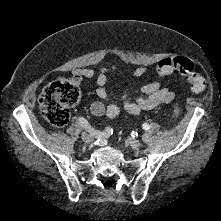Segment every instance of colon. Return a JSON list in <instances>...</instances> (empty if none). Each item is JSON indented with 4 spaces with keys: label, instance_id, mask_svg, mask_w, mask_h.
Returning a JSON list of instances; mask_svg holds the SVG:
<instances>
[{
    "label": "colon",
    "instance_id": "colon-1",
    "mask_svg": "<svg viewBox=\"0 0 221 221\" xmlns=\"http://www.w3.org/2000/svg\"><path fill=\"white\" fill-rule=\"evenodd\" d=\"M156 71L159 76H167L178 72L185 76L190 89L194 93L205 89V79L194 72V63L186 57L166 58L158 62ZM81 97L78 86L66 79H58L48 84L39 97V106L42 116L54 127H63L70 118V109L75 106ZM180 109L173 108V116L177 117Z\"/></svg>",
    "mask_w": 221,
    "mask_h": 221
}]
</instances>
